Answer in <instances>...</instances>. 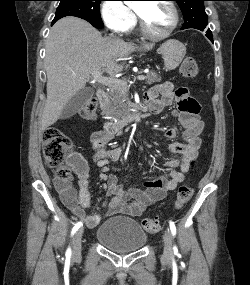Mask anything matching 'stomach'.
Returning <instances> with one entry per match:
<instances>
[{"label": "stomach", "instance_id": "0dacf381", "mask_svg": "<svg viewBox=\"0 0 250 285\" xmlns=\"http://www.w3.org/2000/svg\"><path fill=\"white\" fill-rule=\"evenodd\" d=\"M158 52L164 60V69L172 71L180 65L185 57L186 47L180 41L170 39L160 46Z\"/></svg>", "mask_w": 250, "mask_h": 285}]
</instances>
